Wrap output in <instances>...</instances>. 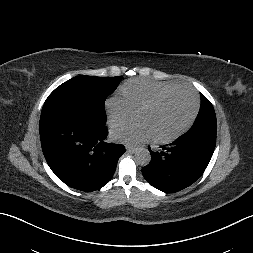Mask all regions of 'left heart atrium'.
Here are the masks:
<instances>
[{
	"mask_svg": "<svg viewBox=\"0 0 253 253\" xmlns=\"http://www.w3.org/2000/svg\"><path fill=\"white\" fill-rule=\"evenodd\" d=\"M111 137L117 142L135 145L153 138V133L145 122L140 121L138 123H120L113 125Z\"/></svg>",
	"mask_w": 253,
	"mask_h": 253,
	"instance_id": "39dd6f15",
	"label": "left heart atrium"
}]
</instances>
